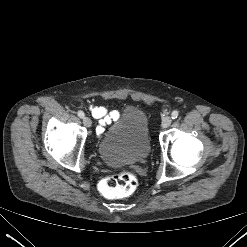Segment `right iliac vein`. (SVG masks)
<instances>
[{"mask_svg": "<svg viewBox=\"0 0 247 247\" xmlns=\"http://www.w3.org/2000/svg\"><path fill=\"white\" fill-rule=\"evenodd\" d=\"M83 124L86 126V127H91V124H92V121L89 117H83Z\"/></svg>", "mask_w": 247, "mask_h": 247, "instance_id": "1", "label": "right iliac vein"}]
</instances>
